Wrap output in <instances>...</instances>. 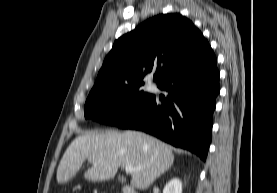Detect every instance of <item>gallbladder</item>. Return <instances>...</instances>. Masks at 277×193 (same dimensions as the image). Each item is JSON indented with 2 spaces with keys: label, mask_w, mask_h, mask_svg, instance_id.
Masks as SVG:
<instances>
[{
  "label": "gallbladder",
  "mask_w": 277,
  "mask_h": 193,
  "mask_svg": "<svg viewBox=\"0 0 277 193\" xmlns=\"http://www.w3.org/2000/svg\"><path fill=\"white\" fill-rule=\"evenodd\" d=\"M118 180H119L120 182H124V181H125V178H124V177H119Z\"/></svg>",
  "instance_id": "bac80fb5"
}]
</instances>
